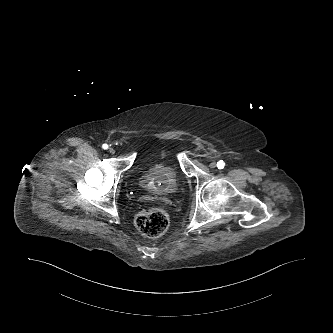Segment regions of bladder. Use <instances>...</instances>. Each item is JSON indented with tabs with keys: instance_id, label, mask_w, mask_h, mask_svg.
<instances>
[{
	"instance_id": "1",
	"label": "bladder",
	"mask_w": 333,
	"mask_h": 333,
	"mask_svg": "<svg viewBox=\"0 0 333 333\" xmlns=\"http://www.w3.org/2000/svg\"><path fill=\"white\" fill-rule=\"evenodd\" d=\"M181 177L171 162L158 161L150 164L138 180L139 186L155 195H171L178 191Z\"/></svg>"
}]
</instances>
